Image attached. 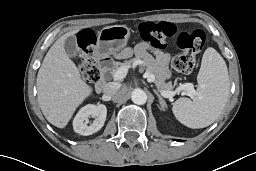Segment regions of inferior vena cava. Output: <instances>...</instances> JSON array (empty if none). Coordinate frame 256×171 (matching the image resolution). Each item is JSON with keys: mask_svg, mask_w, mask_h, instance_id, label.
I'll return each instance as SVG.
<instances>
[{"mask_svg": "<svg viewBox=\"0 0 256 171\" xmlns=\"http://www.w3.org/2000/svg\"><path fill=\"white\" fill-rule=\"evenodd\" d=\"M119 86L117 83L109 82L103 88V93L105 96L111 98L117 94Z\"/></svg>", "mask_w": 256, "mask_h": 171, "instance_id": "1", "label": "inferior vena cava"}]
</instances>
